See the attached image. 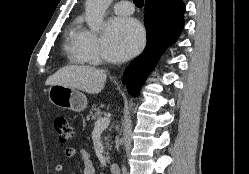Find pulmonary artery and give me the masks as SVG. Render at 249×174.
<instances>
[{
    "instance_id": "e3ab8cb5",
    "label": "pulmonary artery",
    "mask_w": 249,
    "mask_h": 174,
    "mask_svg": "<svg viewBox=\"0 0 249 174\" xmlns=\"http://www.w3.org/2000/svg\"><path fill=\"white\" fill-rule=\"evenodd\" d=\"M113 9L117 14L129 15L133 13L134 6L129 1H120L113 6Z\"/></svg>"
}]
</instances>
